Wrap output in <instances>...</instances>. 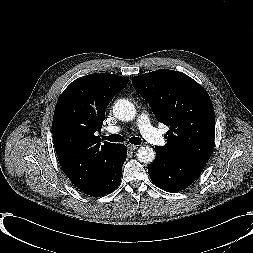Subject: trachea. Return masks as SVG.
Listing matches in <instances>:
<instances>
[{"instance_id":"3493384b","label":"trachea","mask_w":253,"mask_h":253,"mask_svg":"<svg viewBox=\"0 0 253 253\" xmlns=\"http://www.w3.org/2000/svg\"><path fill=\"white\" fill-rule=\"evenodd\" d=\"M104 140H108L110 142H123L124 138L121 135L118 134H112L109 136H103ZM129 142L134 144V145H140L141 144V139L138 137H131L129 139Z\"/></svg>"}]
</instances>
